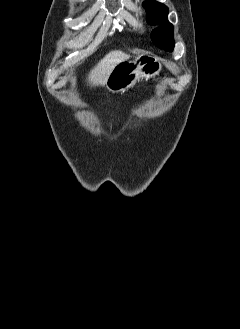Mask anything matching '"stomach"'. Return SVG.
<instances>
[{
  "instance_id": "stomach-1",
  "label": "stomach",
  "mask_w": 240,
  "mask_h": 329,
  "mask_svg": "<svg viewBox=\"0 0 240 329\" xmlns=\"http://www.w3.org/2000/svg\"><path fill=\"white\" fill-rule=\"evenodd\" d=\"M162 64L152 55L138 56L133 60L118 63L107 78L105 86L112 93L125 92L133 87L140 78L158 75Z\"/></svg>"
}]
</instances>
